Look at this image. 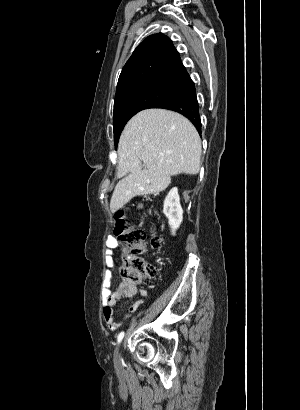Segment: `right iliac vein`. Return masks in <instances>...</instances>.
Returning <instances> with one entry per match:
<instances>
[{
	"instance_id": "63e3f726",
	"label": "right iliac vein",
	"mask_w": 300,
	"mask_h": 410,
	"mask_svg": "<svg viewBox=\"0 0 300 410\" xmlns=\"http://www.w3.org/2000/svg\"><path fill=\"white\" fill-rule=\"evenodd\" d=\"M114 361L116 364H119L120 362V348H116L115 353H114Z\"/></svg>"
}]
</instances>
